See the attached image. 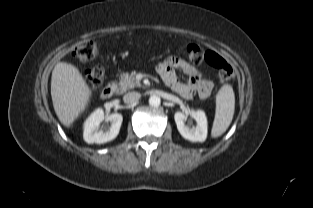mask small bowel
Wrapping results in <instances>:
<instances>
[{"instance_id": "c3829d8e", "label": "small bowel", "mask_w": 313, "mask_h": 208, "mask_svg": "<svg viewBox=\"0 0 313 208\" xmlns=\"http://www.w3.org/2000/svg\"><path fill=\"white\" fill-rule=\"evenodd\" d=\"M181 69L189 76L187 82H181L175 70ZM157 71L164 83L170 86L182 98L190 99L195 94L207 98L213 89V83L204 78L201 73L185 60L178 57H169L157 67Z\"/></svg>"}]
</instances>
